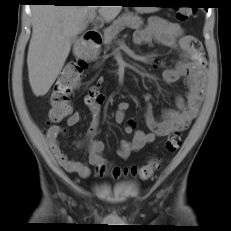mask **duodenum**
<instances>
[{
	"label": "duodenum",
	"mask_w": 231,
	"mask_h": 231,
	"mask_svg": "<svg viewBox=\"0 0 231 231\" xmlns=\"http://www.w3.org/2000/svg\"><path fill=\"white\" fill-rule=\"evenodd\" d=\"M82 38H83V41L85 43V47L78 49L79 54L88 53L92 48L98 47L102 42L101 33L99 31H96V30L86 31L83 34Z\"/></svg>",
	"instance_id": "duodenum-1"
}]
</instances>
